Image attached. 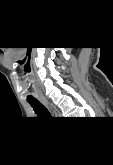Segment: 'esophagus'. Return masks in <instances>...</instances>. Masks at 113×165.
Wrapping results in <instances>:
<instances>
[{
  "instance_id": "obj_1",
  "label": "esophagus",
  "mask_w": 113,
  "mask_h": 165,
  "mask_svg": "<svg viewBox=\"0 0 113 165\" xmlns=\"http://www.w3.org/2000/svg\"><path fill=\"white\" fill-rule=\"evenodd\" d=\"M41 102L49 110L53 117H59L61 115L59 110L55 106H53L48 100L42 99Z\"/></svg>"
}]
</instances>
